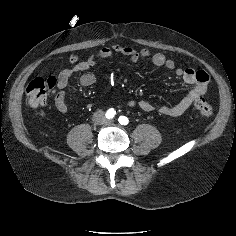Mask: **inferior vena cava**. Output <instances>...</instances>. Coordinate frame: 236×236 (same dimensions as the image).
Here are the masks:
<instances>
[{
	"label": "inferior vena cava",
	"mask_w": 236,
	"mask_h": 236,
	"mask_svg": "<svg viewBox=\"0 0 236 236\" xmlns=\"http://www.w3.org/2000/svg\"><path fill=\"white\" fill-rule=\"evenodd\" d=\"M98 116H102V112H96L94 114V120H96Z\"/></svg>",
	"instance_id": "obj_1"
}]
</instances>
